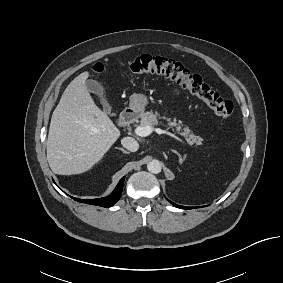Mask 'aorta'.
I'll use <instances>...</instances> for the list:
<instances>
[{"mask_svg": "<svg viewBox=\"0 0 283 283\" xmlns=\"http://www.w3.org/2000/svg\"><path fill=\"white\" fill-rule=\"evenodd\" d=\"M147 169L153 174H158L161 172V163L158 160H152L147 164Z\"/></svg>", "mask_w": 283, "mask_h": 283, "instance_id": "762f6f07", "label": "aorta"}]
</instances>
